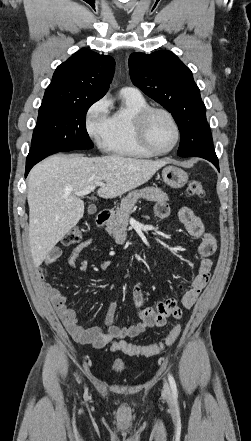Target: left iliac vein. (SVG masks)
<instances>
[{
    "label": "left iliac vein",
    "mask_w": 251,
    "mask_h": 441,
    "mask_svg": "<svg viewBox=\"0 0 251 441\" xmlns=\"http://www.w3.org/2000/svg\"><path fill=\"white\" fill-rule=\"evenodd\" d=\"M163 393L166 396H170L171 395L170 387H169V385H168V383L166 381L164 382V385H163Z\"/></svg>",
    "instance_id": "1"
}]
</instances>
